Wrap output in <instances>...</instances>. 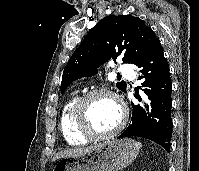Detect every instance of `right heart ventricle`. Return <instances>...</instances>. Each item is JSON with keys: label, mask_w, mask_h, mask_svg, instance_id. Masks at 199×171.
<instances>
[{"label": "right heart ventricle", "mask_w": 199, "mask_h": 171, "mask_svg": "<svg viewBox=\"0 0 199 171\" xmlns=\"http://www.w3.org/2000/svg\"><path fill=\"white\" fill-rule=\"evenodd\" d=\"M79 95L72 94L62 107L60 113V130L65 141L70 145H82L88 138L80 134L75 126L73 112Z\"/></svg>", "instance_id": "right-heart-ventricle-1"}]
</instances>
